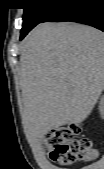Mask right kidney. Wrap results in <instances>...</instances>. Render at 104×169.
<instances>
[{"instance_id":"1","label":"right kidney","mask_w":104,"mask_h":169,"mask_svg":"<svg viewBox=\"0 0 104 169\" xmlns=\"http://www.w3.org/2000/svg\"><path fill=\"white\" fill-rule=\"evenodd\" d=\"M103 110H104V100L103 98H101V101L99 103V111L101 114L103 113Z\"/></svg>"}]
</instances>
